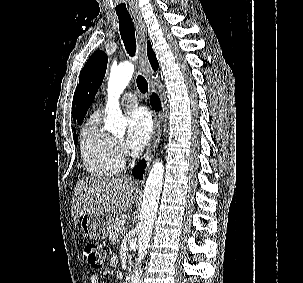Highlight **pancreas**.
Segmentation results:
<instances>
[{
	"instance_id": "obj_1",
	"label": "pancreas",
	"mask_w": 303,
	"mask_h": 283,
	"mask_svg": "<svg viewBox=\"0 0 303 283\" xmlns=\"http://www.w3.org/2000/svg\"><path fill=\"white\" fill-rule=\"evenodd\" d=\"M123 228H124V226H122L120 224V221L118 219L113 221L112 228H111L110 235H109V240L112 243L119 242V237H120V234H122L121 231Z\"/></svg>"
}]
</instances>
